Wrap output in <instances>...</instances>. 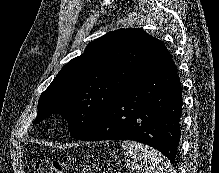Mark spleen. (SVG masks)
Listing matches in <instances>:
<instances>
[{
  "label": "spleen",
  "instance_id": "1",
  "mask_svg": "<svg viewBox=\"0 0 219 173\" xmlns=\"http://www.w3.org/2000/svg\"><path fill=\"white\" fill-rule=\"evenodd\" d=\"M127 166L141 173H175L170 162L157 150L126 140L122 144Z\"/></svg>",
  "mask_w": 219,
  "mask_h": 173
}]
</instances>
